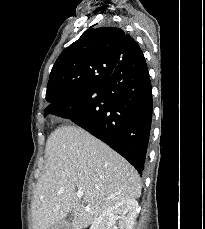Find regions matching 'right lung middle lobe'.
I'll return each mask as SVG.
<instances>
[{"mask_svg":"<svg viewBox=\"0 0 205 229\" xmlns=\"http://www.w3.org/2000/svg\"><path fill=\"white\" fill-rule=\"evenodd\" d=\"M109 76L108 75H102V76H97L93 79V83H100L102 81H105Z\"/></svg>","mask_w":205,"mask_h":229,"instance_id":"right-lung-middle-lobe-1","label":"right lung middle lobe"}]
</instances>
